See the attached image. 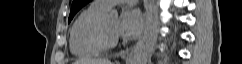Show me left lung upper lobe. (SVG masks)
Here are the masks:
<instances>
[{"instance_id": "left-lung-upper-lobe-1", "label": "left lung upper lobe", "mask_w": 242, "mask_h": 64, "mask_svg": "<svg viewBox=\"0 0 242 64\" xmlns=\"http://www.w3.org/2000/svg\"><path fill=\"white\" fill-rule=\"evenodd\" d=\"M91 0H73L72 6H71V12L69 15L68 22L72 20L74 15L87 3H89Z\"/></svg>"}]
</instances>
